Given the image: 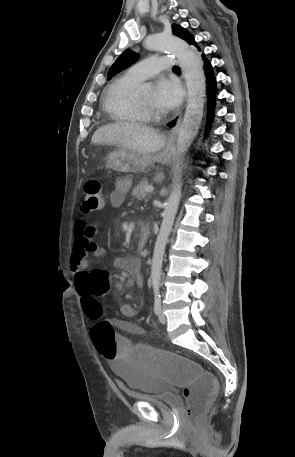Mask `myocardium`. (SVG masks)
Masks as SVG:
<instances>
[{
    "label": "myocardium",
    "mask_w": 295,
    "mask_h": 457,
    "mask_svg": "<svg viewBox=\"0 0 295 457\" xmlns=\"http://www.w3.org/2000/svg\"><path fill=\"white\" fill-rule=\"evenodd\" d=\"M138 107L140 108V110L147 114V115H154L155 112L154 110L152 109V107H148V106H144V105H141L140 103H137Z\"/></svg>",
    "instance_id": "obj_1"
}]
</instances>
